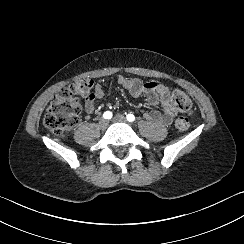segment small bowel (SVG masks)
Here are the masks:
<instances>
[{
  "instance_id": "small-bowel-1",
  "label": "small bowel",
  "mask_w": 244,
  "mask_h": 244,
  "mask_svg": "<svg viewBox=\"0 0 244 244\" xmlns=\"http://www.w3.org/2000/svg\"><path fill=\"white\" fill-rule=\"evenodd\" d=\"M117 82L124 87L133 97H144L149 110L144 113V118L152 123L169 125L176 115V110L170 102L168 88L164 84L155 81H141L117 76ZM104 86L96 84L92 94L84 102V109L92 114L96 110V101L104 97ZM160 107L161 110H158Z\"/></svg>"
}]
</instances>
